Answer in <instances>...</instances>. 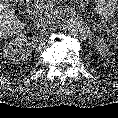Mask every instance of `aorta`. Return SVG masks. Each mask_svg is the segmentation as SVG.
<instances>
[{
	"label": "aorta",
	"mask_w": 118,
	"mask_h": 118,
	"mask_svg": "<svg viewBox=\"0 0 118 118\" xmlns=\"http://www.w3.org/2000/svg\"><path fill=\"white\" fill-rule=\"evenodd\" d=\"M66 30L74 37H85L87 30L83 23L75 18H69L65 21Z\"/></svg>",
	"instance_id": "obj_1"
}]
</instances>
